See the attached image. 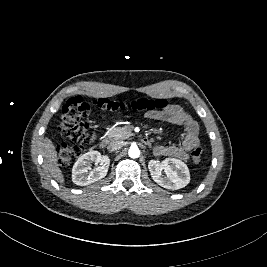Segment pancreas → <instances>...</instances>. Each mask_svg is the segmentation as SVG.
Segmentation results:
<instances>
[{
  "instance_id": "cf45deb5",
  "label": "pancreas",
  "mask_w": 267,
  "mask_h": 267,
  "mask_svg": "<svg viewBox=\"0 0 267 267\" xmlns=\"http://www.w3.org/2000/svg\"><path fill=\"white\" fill-rule=\"evenodd\" d=\"M131 132V128H126V127H115L111 128L109 131H107L106 139H115V140H122L126 139L129 137Z\"/></svg>"
}]
</instances>
